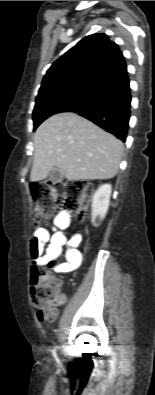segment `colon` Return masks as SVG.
<instances>
[{
    "instance_id": "5ec220e1",
    "label": "colon",
    "mask_w": 155,
    "mask_h": 395,
    "mask_svg": "<svg viewBox=\"0 0 155 395\" xmlns=\"http://www.w3.org/2000/svg\"><path fill=\"white\" fill-rule=\"evenodd\" d=\"M92 192L93 185L86 180L33 183L31 195L34 224L39 225L50 218L59 205L65 212L83 220ZM56 266L54 261H48L46 266H33L31 269V300L39 311L55 309L64 301L59 292V282L52 274Z\"/></svg>"
}]
</instances>
